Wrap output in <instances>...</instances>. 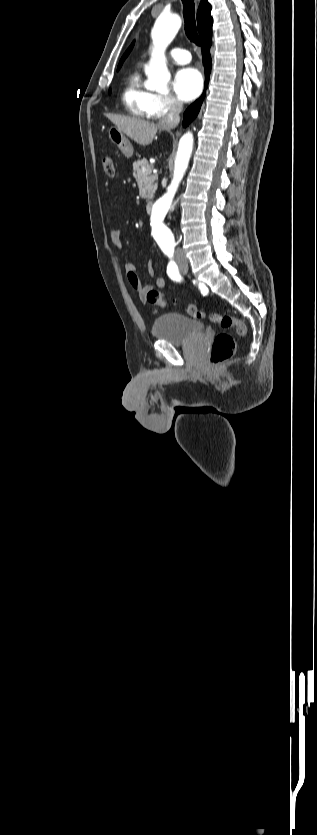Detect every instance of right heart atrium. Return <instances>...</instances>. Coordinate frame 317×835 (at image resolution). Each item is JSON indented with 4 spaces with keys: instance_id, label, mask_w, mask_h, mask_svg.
Returning <instances> with one entry per match:
<instances>
[{
    "instance_id": "d8ad5b80",
    "label": "right heart atrium",
    "mask_w": 317,
    "mask_h": 835,
    "mask_svg": "<svg viewBox=\"0 0 317 835\" xmlns=\"http://www.w3.org/2000/svg\"><path fill=\"white\" fill-rule=\"evenodd\" d=\"M181 103L169 94H153L148 108V117L162 118L180 111Z\"/></svg>"
}]
</instances>
